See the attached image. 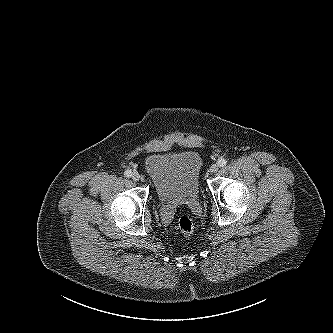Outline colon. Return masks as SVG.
Here are the masks:
<instances>
[{
	"mask_svg": "<svg viewBox=\"0 0 333 333\" xmlns=\"http://www.w3.org/2000/svg\"><path fill=\"white\" fill-rule=\"evenodd\" d=\"M194 222L191 217L183 215L178 221V229L184 236H190L194 231Z\"/></svg>",
	"mask_w": 333,
	"mask_h": 333,
	"instance_id": "colon-1",
	"label": "colon"
}]
</instances>
